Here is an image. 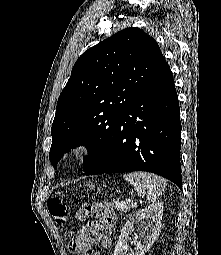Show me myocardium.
Listing matches in <instances>:
<instances>
[{
    "instance_id": "obj_1",
    "label": "myocardium",
    "mask_w": 221,
    "mask_h": 255,
    "mask_svg": "<svg viewBox=\"0 0 221 255\" xmlns=\"http://www.w3.org/2000/svg\"><path fill=\"white\" fill-rule=\"evenodd\" d=\"M84 149L85 146L83 144H78L70 150L69 156L71 158H78L84 152Z\"/></svg>"
}]
</instances>
